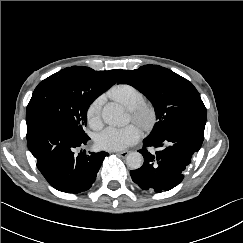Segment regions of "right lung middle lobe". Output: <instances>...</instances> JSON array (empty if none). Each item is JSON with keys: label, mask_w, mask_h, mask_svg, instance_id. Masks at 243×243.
<instances>
[{"label": "right lung middle lobe", "mask_w": 243, "mask_h": 243, "mask_svg": "<svg viewBox=\"0 0 243 243\" xmlns=\"http://www.w3.org/2000/svg\"><path fill=\"white\" fill-rule=\"evenodd\" d=\"M97 96L72 88L65 74L56 73L35 88L26 114L46 112L65 121L77 134L86 136L87 110Z\"/></svg>", "instance_id": "obj_1"}]
</instances>
